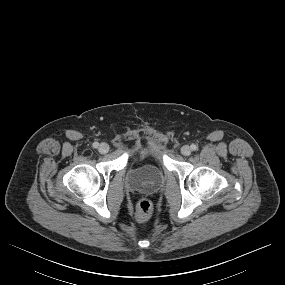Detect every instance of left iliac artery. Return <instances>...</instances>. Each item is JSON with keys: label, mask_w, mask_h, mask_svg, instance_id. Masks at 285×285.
<instances>
[{"label": "left iliac artery", "mask_w": 285, "mask_h": 285, "mask_svg": "<svg viewBox=\"0 0 285 285\" xmlns=\"http://www.w3.org/2000/svg\"><path fill=\"white\" fill-rule=\"evenodd\" d=\"M197 148H198L197 145H195V144H192V145H191V149H192L193 151H196Z\"/></svg>", "instance_id": "left-iliac-artery-1"}]
</instances>
